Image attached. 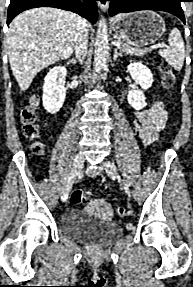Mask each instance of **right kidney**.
Masks as SVG:
<instances>
[{
  "label": "right kidney",
  "instance_id": "obj_1",
  "mask_svg": "<svg viewBox=\"0 0 193 287\" xmlns=\"http://www.w3.org/2000/svg\"><path fill=\"white\" fill-rule=\"evenodd\" d=\"M67 70L64 66H56L49 70L43 86V107L48 113H57L66 97L65 80Z\"/></svg>",
  "mask_w": 193,
  "mask_h": 287
}]
</instances>
